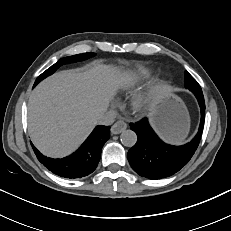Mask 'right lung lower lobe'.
<instances>
[{"label":"right lung lower lobe","instance_id":"obj_1","mask_svg":"<svg viewBox=\"0 0 231 231\" xmlns=\"http://www.w3.org/2000/svg\"><path fill=\"white\" fill-rule=\"evenodd\" d=\"M109 138L110 127L97 126L75 153L62 159L47 158L32 147L38 160L51 172L60 177L75 179L87 176L96 169L102 147Z\"/></svg>","mask_w":231,"mask_h":231}]
</instances>
